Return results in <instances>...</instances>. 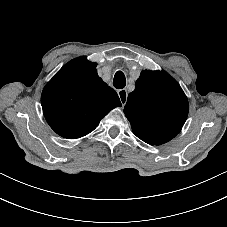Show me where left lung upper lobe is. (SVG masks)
<instances>
[{"mask_svg": "<svg viewBox=\"0 0 227 227\" xmlns=\"http://www.w3.org/2000/svg\"><path fill=\"white\" fill-rule=\"evenodd\" d=\"M189 110L180 85L165 71L143 70L128 96L124 113L133 133L151 145H161L182 129Z\"/></svg>", "mask_w": 227, "mask_h": 227, "instance_id": "left-lung-upper-lobe-1", "label": "left lung upper lobe"}]
</instances>
